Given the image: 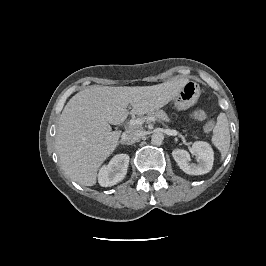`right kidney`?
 I'll list each match as a JSON object with an SVG mask.
<instances>
[{
	"mask_svg": "<svg viewBox=\"0 0 266 266\" xmlns=\"http://www.w3.org/2000/svg\"><path fill=\"white\" fill-rule=\"evenodd\" d=\"M129 159L127 154L114 156L108 165L100 169L98 174L99 184L103 187H110L123 180L127 173Z\"/></svg>",
	"mask_w": 266,
	"mask_h": 266,
	"instance_id": "right-kidney-1",
	"label": "right kidney"
}]
</instances>
